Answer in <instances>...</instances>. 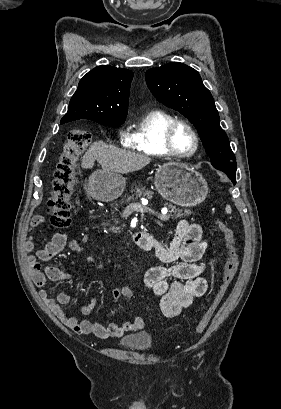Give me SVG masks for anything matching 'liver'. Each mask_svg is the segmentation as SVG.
I'll return each instance as SVG.
<instances>
[{
  "label": "liver",
  "instance_id": "6515ba94",
  "mask_svg": "<svg viewBox=\"0 0 281 409\" xmlns=\"http://www.w3.org/2000/svg\"><path fill=\"white\" fill-rule=\"evenodd\" d=\"M95 160L101 164L105 172L111 170V172L126 174V172L140 170V168L149 164L152 158H150L149 154L117 148V146H111V144H107L103 140H98V142H92L87 152L82 156V168H92Z\"/></svg>",
  "mask_w": 281,
  "mask_h": 409
}]
</instances>
